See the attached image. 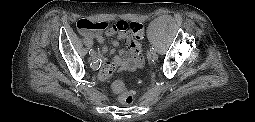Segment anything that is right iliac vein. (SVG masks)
Listing matches in <instances>:
<instances>
[{
	"label": "right iliac vein",
	"mask_w": 255,
	"mask_h": 122,
	"mask_svg": "<svg viewBox=\"0 0 255 122\" xmlns=\"http://www.w3.org/2000/svg\"><path fill=\"white\" fill-rule=\"evenodd\" d=\"M91 57H92V60H97L98 58H99V55L95 52V53H93L92 55H91Z\"/></svg>",
	"instance_id": "obj_1"
}]
</instances>
